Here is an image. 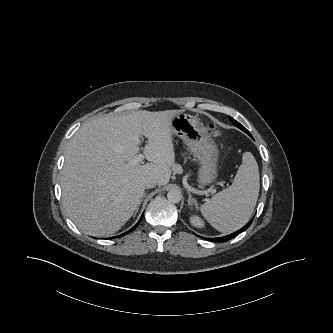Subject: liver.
<instances>
[{
    "instance_id": "liver-1",
    "label": "liver",
    "mask_w": 333,
    "mask_h": 333,
    "mask_svg": "<svg viewBox=\"0 0 333 333\" xmlns=\"http://www.w3.org/2000/svg\"><path fill=\"white\" fill-rule=\"evenodd\" d=\"M182 110L106 114L83 124L68 143L62 169V200L70 219L84 233L108 236L133 215L144 195V183L166 185L175 166L171 120ZM147 138L144 157L140 136Z\"/></svg>"
}]
</instances>
